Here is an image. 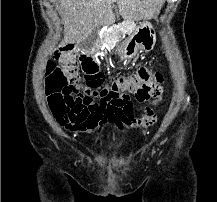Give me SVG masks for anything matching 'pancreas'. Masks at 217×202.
Here are the masks:
<instances>
[{"mask_svg": "<svg viewBox=\"0 0 217 202\" xmlns=\"http://www.w3.org/2000/svg\"><path fill=\"white\" fill-rule=\"evenodd\" d=\"M120 26H119V25ZM115 27H112L111 29L112 30H119V27H122L123 26V28H121V29H123V32L122 31H117V32H119V34H124V33H132L133 31L132 30H135V24H132V22H119Z\"/></svg>", "mask_w": 217, "mask_h": 202, "instance_id": "obj_1", "label": "pancreas"}]
</instances>
